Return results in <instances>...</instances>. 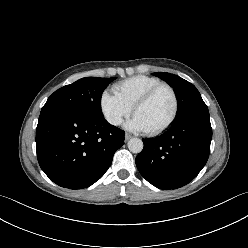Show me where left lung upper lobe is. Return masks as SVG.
Returning a JSON list of instances; mask_svg holds the SVG:
<instances>
[{
  "instance_id": "obj_1",
  "label": "left lung upper lobe",
  "mask_w": 248,
  "mask_h": 248,
  "mask_svg": "<svg viewBox=\"0 0 248 248\" xmlns=\"http://www.w3.org/2000/svg\"><path fill=\"white\" fill-rule=\"evenodd\" d=\"M154 75L164 79L172 86L176 93L178 112L175 122L184 119L196 111L207 108L199 91L190 82L177 75L165 72L154 73Z\"/></svg>"
}]
</instances>
